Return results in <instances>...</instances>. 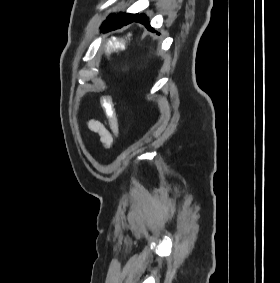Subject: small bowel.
Masks as SVG:
<instances>
[{"label": "small bowel", "mask_w": 280, "mask_h": 283, "mask_svg": "<svg viewBox=\"0 0 280 283\" xmlns=\"http://www.w3.org/2000/svg\"><path fill=\"white\" fill-rule=\"evenodd\" d=\"M88 128L99 136L100 142L105 148H109L112 145L114 136L116 134L114 132L113 126L110 123L109 128H107L99 120L91 119L88 122Z\"/></svg>", "instance_id": "c3829d8e"}]
</instances>
